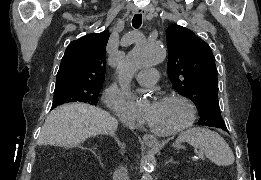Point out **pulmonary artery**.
<instances>
[{
    "mask_svg": "<svg viewBox=\"0 0 261 180\" xmlns=\"http://www.w3.org/2000/svg\"><path fill=\"white\" fill-rule=\"evenodd\" d=\"M159 73L157 69H142L135 77L138 84V89H153V83L157 81Z\"/></svg>",
    "mask_w": 261,
    "mask_h": 180,
    "instance_id": "pulmonary-artery-1",
    "label": "pulmonary artery"
}]
</instances>
